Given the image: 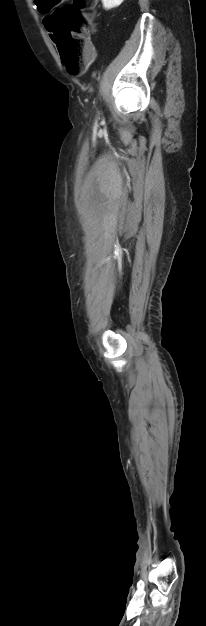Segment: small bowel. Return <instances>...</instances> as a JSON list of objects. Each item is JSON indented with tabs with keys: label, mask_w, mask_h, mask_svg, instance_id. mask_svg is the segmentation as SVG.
I'll return each instance as SVG.
<instances>
[{
	"label": "small bowel",
	"mask_w": 206,
	"mask_h": 626,
	"mask_svg": "<svg viewBox=\"0 0 206 626\" xmlns=\"http://www.w3.org/2000/svg\"><path fill=\"white\" fill-rule=\"evenodd\" d=\"M41 1L42 0H38L37 1V5L39 6V8H41ZM47 18H48V16L44 18V24H45L46 29L49 31L48 24H47Z\"/></svg>",
	"instance_id": "c3829d8e"
}]
</instances>
